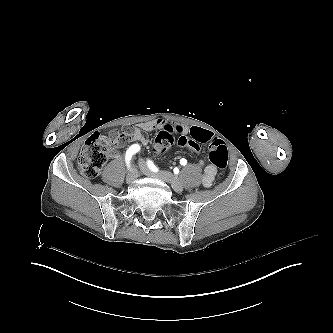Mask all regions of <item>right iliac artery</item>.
I'll use <instances>...</instances> for the list:
<instances>
[{
    "mask_svg": "<svg viewBox=\"0 0 333 333\" xmlns=\"http://www.w3.org/2000/svg\"><path fill=\"white\" fill-rule=\"evenodd\" d=\"M140 150V146L139 145H132L131 147H129V149L127 150L126 152V156H125V160H126V163H127V166L129 167V161L131 160L132 158V155L135 154L136 152H138Z\"/></svg>",
    "mask_w": 333,
    "mask_h": 333,
    "instance_id": "obj_1",
    "label": "right iliac artery"
}]
</instances>
